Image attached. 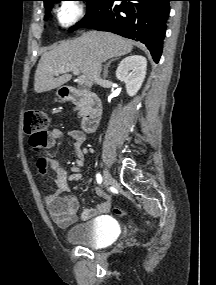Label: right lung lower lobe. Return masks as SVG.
Segmentation results:
<instances>
[{"mask_svg": "<svg viewBox=\"0 0 216 285\" xmlns=\"http://www.w3.org/2000/svg\"><path fill=\"white\" fill-rule=\"evenodd\" d=\"M101 0L81 27L113 32L140 41L158 63L172 0Z\"/></svg>", "mask_w": 216, "mask_h": 285, "instance_id": "right-lung-lower-lobe-1", "label": "right lung lower lobe"}]
</instances>
